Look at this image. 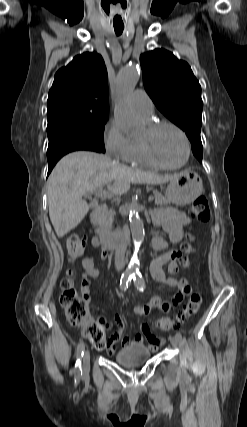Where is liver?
Instances as JSON below:
<instances>
[{
	"instance_id": "6515ba94",
	"label": "liver",
	"mask_w": 247,
	"mask_h": 427,
	"mask_svg": "<svg viewBox=\"0 0 247 427\" xmlns=\"http://www.w3.org/2000/svg\"><path fill=\"white\" fill-rule=\"evenodd\" d=\"M175 177L130 168L94 152H72L56 164L48 179L50 220L57 236L63 237L78 226L89 211L83 195L105 185L115 194H124L131 183L157 185Z\"/></svg>"
}]
</instances>
